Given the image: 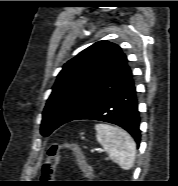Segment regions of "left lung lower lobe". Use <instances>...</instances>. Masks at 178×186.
<instances>
[{
	"label": "left lung lower lobe",
	"instance_id": "0a47b994",
	"mask_svg": "<svg viewBox=\"0 0 178 186\" xmlns=\"http://www.w3.org/2000/svg\"><path fill=\"white\" fill-rule=\"evenodd\" d=\"M88 119L118 125L140 143V116L136 87L131 78L109 95L82 111L73 120Z\"/></svg>",
	"mask_w": 178,
	"mask_h": 186
}]
</instances>
